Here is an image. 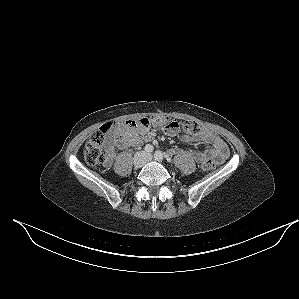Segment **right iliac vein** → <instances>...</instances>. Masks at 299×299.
Returning a JSON list of instances; mask_svg holds the SVG:
<instances>
[{"label":"right iliac vein","mask_w":299,"mask_h":299,"mask_svg":"<svg viewBox=\"0 0 299 299\" xmlns=\"http://www.w3.org/2000/svg\"><path fill=\"white\" fill-rule=\"evenodd\" d=\"M145 161V157L143 153H138L135 157H134V167L135 168H141L144 165Z\"/></svg>","instance_id":"right-iliac-vein-1"}]
</instances>
